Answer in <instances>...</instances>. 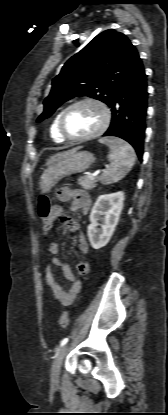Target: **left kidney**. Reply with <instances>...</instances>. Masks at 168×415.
<instances>
[{
	"label": "left kidney",
	"instance_id": "1",
	"mask_svg": "<svg viewBox=\"0 0 168 415\" xmlns=\"http://www.w3.org/2000/svg\"><path fill=\"white\" fill-rule=\"evenodd\" d=\"M123 202V192L104 194L97 198L89 216L91 223L87 228L88 238L94 249H100L109 242L118 224Z\"/></svg>",
	"mask_w": 168,
	"mask_h": 415
}]
</instances>
